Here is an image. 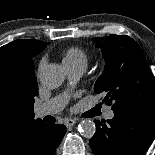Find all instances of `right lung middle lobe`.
<instances>
[{
	"mask_svg": "<svg viewBox=\"0 0 155 155\" xmlns=\"http://www.w3.org/2000/svg\"><path fill=\"white\" fill-rule=\"evenodd\" d=\"M38 95L37 78L33 63L25 68V73L13 84L0 82V137L17 136L23 126L24 103L33 104Z\"/></svg>",
	"mask_w": 155,
	"mask_h": 155,
	"instance_id": "right-lung-middle-lobe-1",
	"label": "right lung middle lobe"
}]
</instances>
